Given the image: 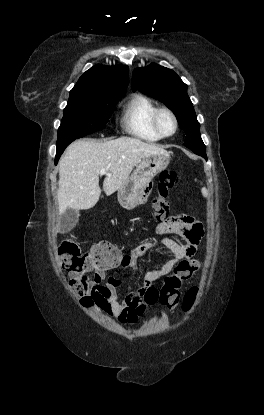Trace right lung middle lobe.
Returning <instances> with one entry per match:
<instances>
[{
  "label": "right lung middle lobe",
  "mask_w": 264,
  "mask_h": 415,
  "mask_svg": "<svg viewBox=\"0 0 264 415\" xmlns=\"http://www.w3.org/2000/svg\"><path fill=\"white\" fill-rule=\"evenodd\" d=\"M123 95L69 98L58 129L57 150L75 139L104 129L117 102Z\"/></svg>",
  "instance_id": "obj_1"
}]
</instances>
